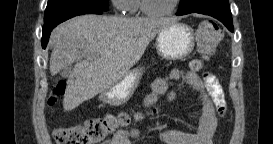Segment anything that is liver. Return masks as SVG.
I'll list each match as a JSON object with an SVG mask.
<instances>
[{
    "mask_svg": "<svg viewBox=\"0 0 273 144\" xmlns=\"http://www.w3.org/2000/svg\"><path fill=\"white\" fill-rule=\"evenodd\" d=\"M174 22L175 18L90 14L59 25L51 36L54 45L51 75L76 61L64 94L65 111L75 109L122 80L156 34Z\"/></svg>",
    "mask_w": 273,
    "mask_h": 144,
    "instance_id": "obj_1",
    "label": "liver"
}]
</instances>
